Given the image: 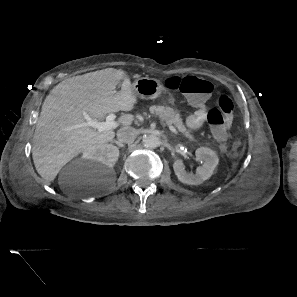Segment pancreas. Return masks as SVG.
<instances>
[{"mask_svg":"<svg viewBox=\"0 0 297 297\" xmlns=\"http://www.w3.org/2000/svg\"><path fill=\"white\" fill-rule=\"evenodd\" d=\"M150 112L159 116V118L162 121H165L167 124L174 125L179 130V132L183 133V135L190 141H196L195 137L189 130H187V128L183 124L182 118L180 117L179 113L173 108H170L168 106L153 105L150 107Z\"/></svg>","mask_w":297,"mask_h":297,"instance_id":"1","label":"pancreas"}]
</instances>
